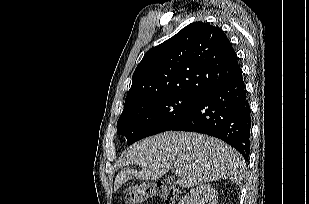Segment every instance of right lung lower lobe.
<instances>
[{
  "instance_id": "98d812e1",
  "label": "right lung lower lobe",
  "mask_w": 309,
  "mask_h": 204,
  "mask_svg": "<svg viewBox=\"0 0 309 204\" xmlns=\"http://www.w3.org/2000/svg\"><path fill=\"white\" fill-rule=\"evenodd\" d=\"M250 107L242 70L232 79L210 87L165 131H193L220 138L245 161L250 153Z\"/></svg>"
}]
</instances>
